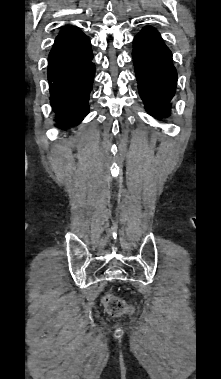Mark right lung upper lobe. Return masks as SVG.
<instances>
[{"mask_svg": "<svg viewBox=\"0 0 221 379\" xmlns=\"http://www.w3.org/2000/svg\"><path fill=\"white\" fill-rule=\"evenodd\" d=\"M67 29H69V28H68V27H65V28L63 29V31H64V30H67Z\"/></svg>", "mask_w": 221, "mask_h": 379, "instance_id": "cb5924a9", "label": "right lung upper lobe"}]
</instances>
